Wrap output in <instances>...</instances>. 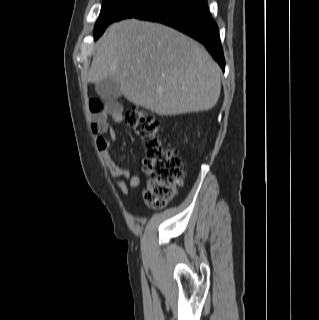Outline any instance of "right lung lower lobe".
Masks as SVG:
<instances>
[{
  "mask_svg": "<svg viewBox=\"0 0 319 320\" xmlns=\"http://www.w3.org/2000/svg\"><path fill=\"white\" fill-rule=\"evenodd\" d=\"M136 18L160 22L191 36L201 42L225 69L219 30L207 9V0H173Z\"/></svg>",
  "mask_w": 319,
  "mask_h": 320,
  "instance_id": "obj_1",
  "label": "right lung lower lobe"
}]
</instances>
